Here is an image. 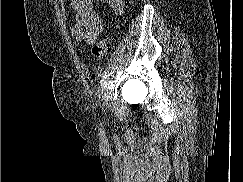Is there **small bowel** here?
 Here are the masks:
<instances>
[{"label":"small bowel","instance_id":"c3829d8e","mask_svg":"<svg viewBox=\"0 0 243 182\" xmlns=\"http://www.w3.org/2000/svg\"><path fill=\"white\" fill-rule=\"evenodd\" d=\"M117 12L122 10L124 0H99ZM71 7L75 12L71 35L77 43L93 44L103 29V21L93 6L92 0H72Z\"/></svg>","mask_w":243,"mask_h":182}]
</instances>
